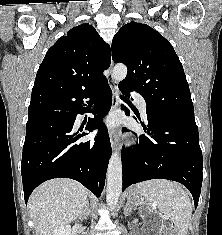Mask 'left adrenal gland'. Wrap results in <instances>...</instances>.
<instances>
[{
  "instance_id": "left-adrenal-gland-1",
  "label": "left adrenal gland",
  "mask_w": 222,
  "mask_h": 235,
  "mask_svg": "<svg viewBox=\"0 0 222 235\" xmlns=\"http://www.w3.org/2000/svg\"><path fill=\"white\" fill-rule=\"evenodd\" d=\"M128 209H129V204H127V206H126V210H127V212H128ZM130 212V211H129Z\"/></svg>"
}]
</instances>
